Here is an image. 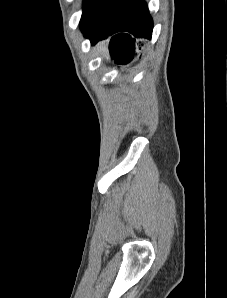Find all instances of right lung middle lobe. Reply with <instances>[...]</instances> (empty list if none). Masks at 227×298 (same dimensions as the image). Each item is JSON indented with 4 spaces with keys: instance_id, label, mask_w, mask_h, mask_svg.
<instances>
[{
    "instance_id": "obj_1",
    "label": "right lung middle lobe",
    "mask_w": 227,
    "mask_h": 298,
    "mask_svg": "<svg viewBox=\"0 0 227 298\" xmlns=\"http://www.w3.org/2000/svg\"><path fill=\"white\" fill-rule=\"evenodd\" d=\"M111 1L112 0H84L83 14L80 21L81 30H84Z\"/></svg>"
}]
</instances>
